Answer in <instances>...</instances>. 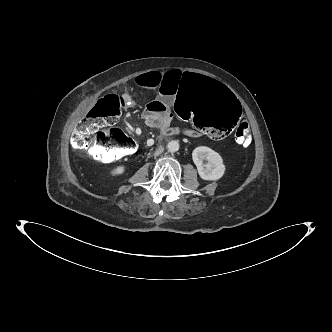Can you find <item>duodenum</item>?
<instances>
[{"mask_svg":"<svg viewBox=\"0 0 332 332\" xmlns=\"http://www.w3.org/2000/svg\"><path fill=\"white\" fill-rule=\"evenodd\" d=\"M181 133H182L181 131L170 128V127H163L161 129V134L163 135V137H171V136L179 135Z\"/></svg>","mask_w":332,"mask_h":332,"instance_id":"obj_1","label":"duodenum"}]
</instances>
